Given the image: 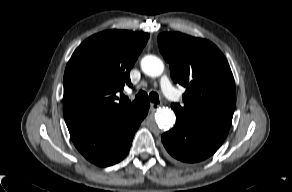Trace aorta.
<instances>
[{
    "label": "aorta",
    "mask_w": 292,
    "mask_h": 192,
    "mask_svg": "<svg viewBox=\"0 0 292 192\" xmlns=\"http://www.w3.org/2000/svg\"><path fill=\"white\" fill-rule=\"evenodd\" d=\"M141 69L144 74L151 77H158L164 71L163 61L154 55H146L141 60ZM176 117L172 110L163 108L157 110L154 120L148 121V127L156 131L157 127L163 130L170 129L175 123Z\"/></svg>",
    "instance_id": "762f6f07"
}]
</instances>
